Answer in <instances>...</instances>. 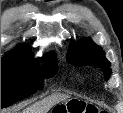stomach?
Masks as SVG:
<instances>
[{"label": "stomach", "instance_id": "0dacf381", "mask_svg": "<svg viewBox=\"0 0 123 113\" xmlns=\"http://www.w3.org/2000/svg\"><path fill=\"white\" fill-rule=\"evenodd\" d=\"M78 110H86V103L79 99H70L66 102L55 105L53 108V112L71 113Z\"/></svg>", "mask_w": 123, "mask_h": 113}]
</instances>
